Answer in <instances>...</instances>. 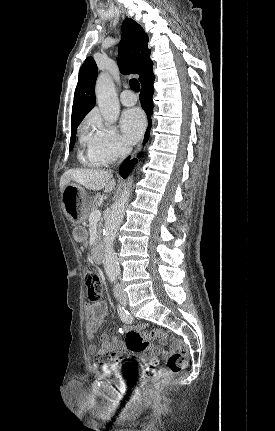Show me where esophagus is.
Here are the masks:
<instances>
[{"instance_id":"1","label":"esophagus","mask_w":275,"mask_h":431,"mask_svg":"<svg viewBox=\"0 0 275 431\" xmlns=\"http://www.w3.org/2000/svg\"><path fill=\"white\" fill-rule=\"evenodd\" d=\"M140 148H141V146H139V147L137 148V150H136V152H135V153H137V152L140 150ZM133 156H135V154H133Z\"/></svg>"}]
</instances>
